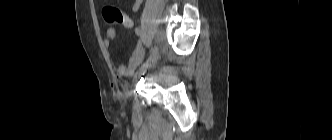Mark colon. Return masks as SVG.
<instances>
[{"label":"colon","instance_id":"obj_1","mask_svg":"<svg viewBox=\"0 0 332 140\" xmlns=\"http://www.w3.org/2000/svg\"><path fill=\"white\" fill-rule=\"evenodd\" d=\"M102 14L105 21L109 24L119 25L125 29L133 27L132 19L117 7L108 5L103 8Z\"/></svg>","mask_w":332,"mask_h":140}]
</instances>
